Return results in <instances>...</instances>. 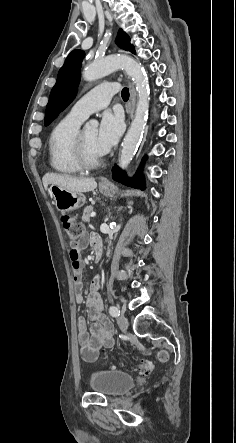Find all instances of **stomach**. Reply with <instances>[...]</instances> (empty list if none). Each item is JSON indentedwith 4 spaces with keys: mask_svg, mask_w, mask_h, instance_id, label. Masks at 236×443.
I'll return each mask as SVG.
<instances>
[{
    "mask_svg": "<svg viewBox=\"0 0 236 443\" xmlns=\"http://www.w3.org/2000/svg\"><path fill=\"white\" fill-rule=\"evenodd\" d=\"M100 192L104 195H109L111 189L100 188ZM49 193L57 210L61 212H69L81 208L86 201L83 193L71 192L54 184L50 186Z\"/></svg>",
    "mask_w": 236,
    "mask_h": 443,
    "instance_id": "0dacf381",
    "label": "stomach"
}]
</instances>
